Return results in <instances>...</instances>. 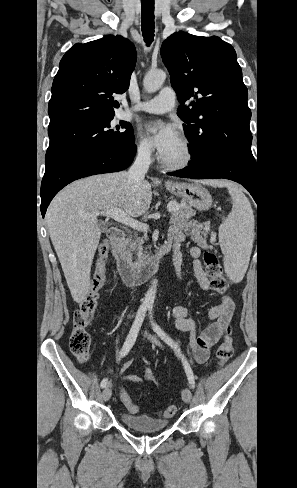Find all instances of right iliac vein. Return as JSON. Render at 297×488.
Instances as JSON below:
<instances>
[{"label":"right iliac vein","mask_w":297,"mask_h":488,"mask_svg":"<svg viewBox=\"0 0 297 488\" xmlns=\"http://www.w3.org/2000/svg\"><path fill=\"white\" fill-rule=\"evenodd\" d=\"M111 395H112V390L110 389V387L107 386L102 392L103 400L108 401Z\"/></svg>","instance_id":"1"}]
</instances>
